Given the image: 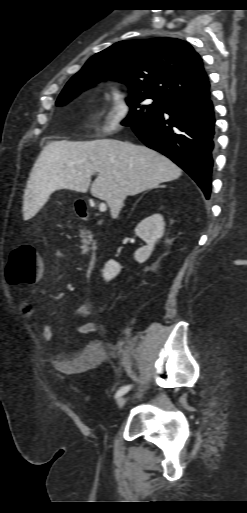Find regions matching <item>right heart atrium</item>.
Returning <instances> with one entry per match:
<instances>
[{
    "label": "right heart atrium",
    "instance_id": "1",
    "mask_svg": "<svg viewBox=\"0 0 247 513\" xmlns=\"http://www.w3.org/2000/svg\"><path fill=\"white\" fill-rule=\"evenodd\" d=\"M130 100L127 93L120 88H113L109 95V104L101 122L104 135L118 132L130 114Z\"/></svg>",
    "mask_w": 247,
    "mask_h": 513
}]
</instances>
